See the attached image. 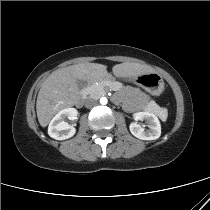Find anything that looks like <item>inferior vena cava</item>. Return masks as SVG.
<instances>
[{
  "mask_svg": "<svg viewBox=\"0 0 210 210\" xmlns=\"http://www.w3.org/2000/svg\"><path fill=\"white\" fill-rule=\"evenodd\" d=\"M97 105V100L94 98H89L85 101L86 108H92Z\"/></svg>",
  "mask_w": 210,
  "mask_h": 210,
  "instance_id": "inferior-vena-cava-1",
  "label": "inferior vena cava"
}]
</instances>
